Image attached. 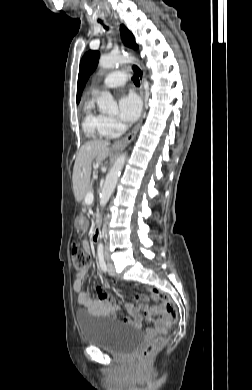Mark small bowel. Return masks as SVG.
Wrapping results in <instances>:
<instances>
[{"mask_svg": "<svg viewBox=\"0 0 252 390\" xmlns=\"http://www.w3.org/2000/svg\"><path fill=\"white\" fill-rule=\"evenodd\" d=\"M82 246L86 251H90V243L87 240L82 242ZM87 273L86 269L77 273L73 281V289L78 293V303L93 315L115 318L119 307L111 295L98 288L96 296L93 298L90 293L82 290ZM126 308L129 316L123 318L125 324L140 328L146 320H153V326L148 329L150 336L165 333L170 326V321L160 306L148 307L145 304L137 306L127 304Z\"/></svg>", "mask_w": 252, "mask_h": 390, "instance_id": "small-bowel-1", "label": "small bowel"}]
</instances>
